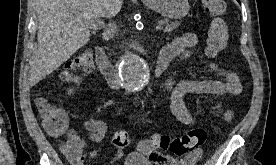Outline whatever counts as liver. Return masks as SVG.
Listing matches in <instances>:
<instances>
[{
  "instance_id": "6515ba94",
  "label": "liver",
  "mask_w": 276,
  "mask_h": 165,
  "mask_svg": "<svg viewBox=\"0 0 276 165\" xmlns=\"http://www.w3.org/2000/svg\"><path fill=\"white\" fill-rule=\"evenodd\" d=\"M122 5L123 0H36L38 46L30 64V86L90 40V20L114 17Z\"/></svg>"
}]
</instances>
